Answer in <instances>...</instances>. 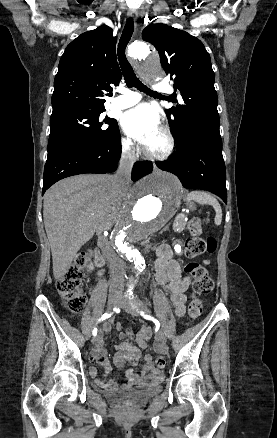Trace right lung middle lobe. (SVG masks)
<instances>
[{
	"mask_svg": "<svg viewBox=\"0 0 277 438\" xmlns=\"http://www.w3.org/2000/svg\"><path fill=\"white\" fill-rule=\"evenodd\" d=\"M104 110L80 111L70 115H51L48 156L112 141L119 134L115 119L100 116Z\"/></svg>",
	"mask_w": 277,
	"mask_h": 438,
	"instance_id": "1",
	"label": "right lung middle lobe"
}]
</instances>
